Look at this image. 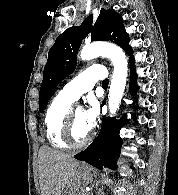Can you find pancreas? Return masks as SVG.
<instances>
[{
	"instance_id": "1",
	"label": "pancreas",
	"mask_w": 178,
	"mask_h": 195,
	"mask_svg": "<svg viewBox=\"0 0 178 195\" xmlns=\"http://www.w3.org/2000/svg\"><path fill=\"white\" fill-rule=\"evenodd\" d=\"M82 195H89L88 193L84 192Z\"/></svg>"
}]
</instances>
